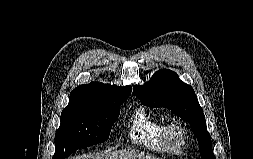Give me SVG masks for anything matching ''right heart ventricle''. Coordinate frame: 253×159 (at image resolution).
<instances>
[{"mask_svg":"<svg viewBox=\"0 0 253 159\" xmlns=\"http://www.w3.org/2000/svg\"><path fill=\"white\" fill-rule=\"evenodd\" d=\"M166 122L148 114L143 109L136 110L130 118L128 137L134 143L152 151H163V130Z\"/></svg>","mask_w":253,"mask_h":159,"instance_id":"e07e8e85","label":"right heart ventricle"}]
</instances>
